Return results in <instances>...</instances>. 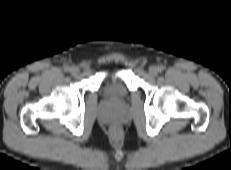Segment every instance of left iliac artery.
<instances>
[{
    "instance_id": "44dca946",
    "label": "left iliac artery",
    "mask_w": 231,
    "mask_h": 170,
    "mask_svg": "<svg viewBox=\"0 0 231 170\" xmlns=\"http://www.w3.org/2000/svg\"><path fill=\"white\" fill-rule=\"evenodd\" d=\"M165 69V67L163 66V65H160L159 67H158V70L159 71H163Z\"/></svg>"
}]
</instances>
